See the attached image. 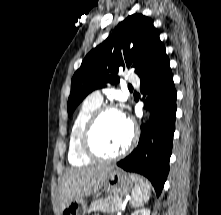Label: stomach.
I'll list each match as a JSON object with an SVG mask.
<instances>
[{"label": "stomach", "instance_id": "stomach-1", "mask_svg": "<svg viewBox=\"0 0 221 215\" xmlns=\"http://www.w3.org/2000/svg\"><path fill=\"white\" fill-rule=\"evenodd\" d=\"M134 187V177L118 169L110 171L104 183V190L118 197L130 194ZM87 212V202L80 198L70 202L61 215H86Z\"/></svg>", "mask_w": 221, "mask_h": 215}]
</instances>
